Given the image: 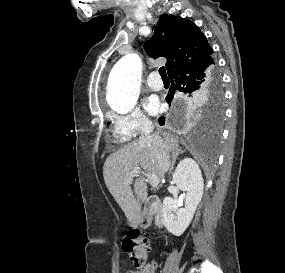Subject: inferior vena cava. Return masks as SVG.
<instances>
[{
  "instance_id": "obj_1",
  "label": "inferior vena cava",
  "mask_w": 285,
  "mask_h": 273,
  "mask_svg": "<svg viewBox=\"0 0 285 273\" xmlns=\"http://www.w3.org/2000/svg\"><path fill=\"white\" fill-rule=\"evenodd\" d=\"M153 124L149 120H145L142 123L140 141L148 142L152 144L156 149V155L159 165L163 172H167L170 168V156L165 145L163 144L162 137L159 134H152Z\"/></svg>"
}]
</instances>
